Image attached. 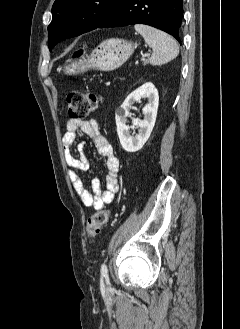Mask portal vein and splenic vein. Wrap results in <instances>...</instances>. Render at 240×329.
I'll return each mask as SVG.
<instances>
[{"instance_id": "18ae733b", "label": "portal vein and splenic vein", "mask_w": 240, "mask_h": 329, "mask_svg": "<svg viewBox=\"0 0 240 329\" xmlns=\"http://www.w3.org/2000/svg\"><path fill=\"white\" fill-rule=\"evenodd\" d=\"M149 55H150L149 53L143 55L141 60L145 61V58L148 57Z\"/></svg>"}]
</instances>
